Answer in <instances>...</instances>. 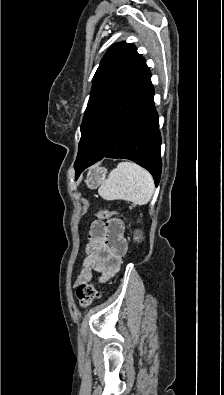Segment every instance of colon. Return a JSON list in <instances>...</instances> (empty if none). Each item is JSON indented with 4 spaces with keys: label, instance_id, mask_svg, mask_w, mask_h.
<instances>
[{
    "label": "colon",
    "instance_id": "1",
    "mask_svg": "<svg viewBox=\"0 0 224 395\" xmlns=\"http://www.w3.org/2000/svg\"><path fill=\"white\" fill-rule=\"evenodd\" d=\"M96 216L99 219L105 220V221H111L113 220L114 217H116V214L113 212L107 211V210H99L96 213ZM112 229L117 232L118 231V226L114 225ZM76 295L77 299L79 301V304L82 307H88L92 305L94 300L98 297V290L96 285L93 282H83L78 285L76 289Z\"/></svg>",
    "mask_w": 224,
    "mask_h": 395
}]
</instances>
